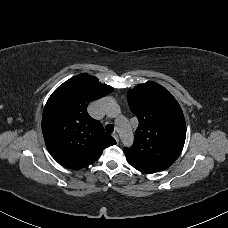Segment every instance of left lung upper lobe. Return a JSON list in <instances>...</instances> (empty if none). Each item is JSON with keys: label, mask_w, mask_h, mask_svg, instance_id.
Wrapping results in <instances>:
<instances>
[{"label": "left lung upper lobe", "mask_w": 228, "mask_h": 228, "mask_svg": "<svg viewBox=\"0 0 228 228\" xmlns=\"http://www.w3.org/2000/svg\"><path fill=\"white\" fill-rule=\"evenodd\" d=\"M131 111L139 120L134 144L125 148L134 164L162 171L180 155L186 124L180 105L163 86L149 81L127 93Z\"/></svg>", "instance_id": "5c2ea615"}]
</instances>
